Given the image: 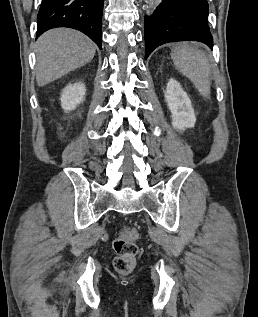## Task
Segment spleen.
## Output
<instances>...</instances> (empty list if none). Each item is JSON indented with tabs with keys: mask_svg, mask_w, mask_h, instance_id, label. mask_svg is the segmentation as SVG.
<instances>
[{
	"mask_svg": "<svg viewBox=\"0 0 258 317\" xmlns=\"http://www.w3.org/2000/svg\"><path fill=\"white\" fill-rule=\"evenodd\" d=\"M171 58L179 72L192 80L202 96L209 98L211 68L206 52L193 44H178L171 48Z\"/></svg>",
	"mask_w": 258,
	"mask_h": 317,
	"instance_id": "spleen-1",
	"label": "spleen"
}]
</instances>
